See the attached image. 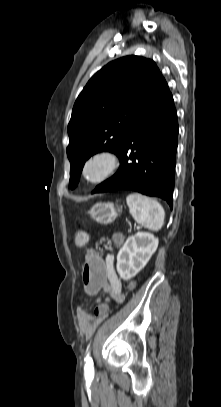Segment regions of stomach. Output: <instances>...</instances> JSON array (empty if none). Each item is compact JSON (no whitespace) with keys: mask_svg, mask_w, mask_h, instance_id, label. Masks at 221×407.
Instances as JSON below:
<instances>
[{"mask_svg":"<svg viewBox=\"0 0 221 407\" xmlns=\"http://www.w3.org/2000/svg\"><path fill=\"white\" fill-rule=\"evenodd\" d=\"M89 214L100 224H110L117 218L118 210L113 203L99 202L92 206L89 210ZM88 239L89 237L85 232L79 231L75 238L76 245L83 246L88 242Z\"/></svg>","mask_w":221,"mask_h":407,"instance_id":"stomach-1","label":"stomach"}]
</instances>
